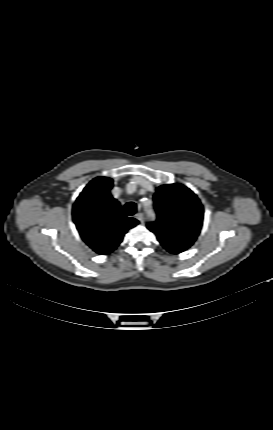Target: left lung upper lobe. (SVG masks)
I'll return each instance as SVG.
<instances>
[{
	"mask_svg": "<svg viewBox=\"0 0 273 430\" xmlns=\"http://www.w3.org/2000/svg\"><path fill=\"white\" fill-rule=\"evenodd\" d=\"M154 206L157 219L147 228L170 253L188 249L202 227L203 207L197 196L181 184L162 185L156 188Z\"/></svg>",
	"mask_w": 273,
	"mask_h": 430,
	"instance_id": "obj_1",
	"label": "left lung upper lobe"
}]
</instances>
